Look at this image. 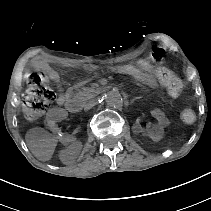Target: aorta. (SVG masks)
Listing matches in <instances>:
<instances>
[{"label":"aorta","mask_w":211,"mask_h":211,"mask_svg":"<svg viewBox=\"0 0 211 211\" xmlns=\"http://www.w3.org/2000/svg\"><path fill=\"white\" fill-rule=\"evenodd\" d=\"M106 103L110 106V107H121L123 104V99L122 96L120 95L119 92L117 91H111L108 92L106 95Z\"/></svg>","instance_id":"aorta-1"}]
</instances>
